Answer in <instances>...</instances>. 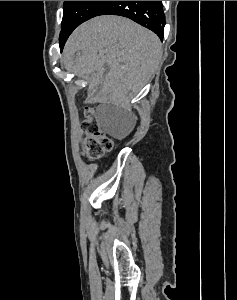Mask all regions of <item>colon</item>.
Instances as JSON below:
<instances>
[{
    "label": "colon",
    "instance_id": "1",
    "mask_svg": "<svg viewBox=\"0 0 237 300\" xmlns=\"http://www.w3.org/2000/svg\"><path fill=\"white\" fill-rule=\"evenodd\" d=\"M84 115L85 119L82 123V131L85 135L83 154L90 159H98L112 149L113 142L102 130L92 108H86Z\"/></svg>",
    "mask_w": 237,
    "mask_h": 300
}]
</instances>
